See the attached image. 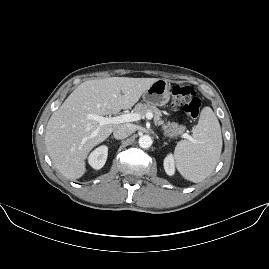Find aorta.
I'll list each match as a JSON object with an SVG mask.
<instances>
[{
	"instance_id": "762f6f07",
	"label": "aorta",
	"mask_w": 269,
	"mask_h": 269,
	"mask_svg": "<svg viewBox=\"0 0 269 269\" xmlns=\"http://www.w3.org/2000/svg\"><path fill=\"white\" fill-rule=\"evenodd\" d=\"M139 146L143 149L150 148L152 145V139L148 135H143L139 137L138 140Z\"/></svg>"
}]
</instances>
